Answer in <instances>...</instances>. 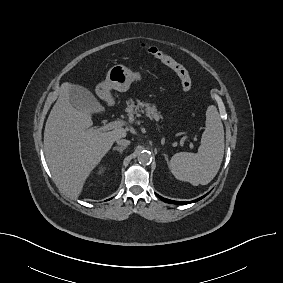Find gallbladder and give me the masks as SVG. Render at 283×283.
Instances as JSON below:
<instances>
[{"label":"gallbladder","instance_id":"obj_1","mask_svg":"<svg viewBox=\"0 0 283 283\" xmlns=\"http://www.w3.org/2000/svg\"><path fill=\"white\" fill-rule=\"evenodd\" d=\"M71 104L79 110L99 108V104L86 88L73 85L69 90Z\"/></svg>","mask_w":283,"mask_h":283}]
</instances>
